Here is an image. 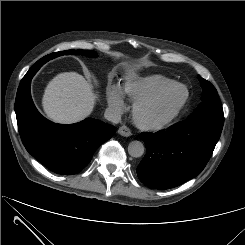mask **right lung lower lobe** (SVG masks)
<instances>
[{
	"label": "right lung lower lobe",
	"mask_w": 245,
	"mask_h": 245,
	"mask_svg": "<svg viewBox=\"0 0 245 245\" xmlns=\"http://www.w3.org/2000/svg\"><path fill=\"white\" fill-rule=\"evenodd\" d=\"M31 78L20 83L15 100L18 130L27 151L49 170L63 175L81 171L93 153L114 134V126L87 118L72 125L55 124L36 109Z\"/></svg>",
	"instance_id": "1"
}]
</instances>
